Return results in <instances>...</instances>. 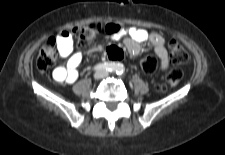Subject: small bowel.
I'll list each match as a JSON object with an SVG mask.
<instances>
[{"label": "small bowel", "mask_w": 225, "mask_h": 155, "mask_svg": "<svg viewBox=\"0 0 225 155\" xmlns=\"http://www.w3.org/2000/svg\"><path fill=\"white\" fill-rule=\"evenodd\" d=\"M108 25L113 30L105 34L115 40L124 38L125 46L133 56L141 53L142 43L147 42L152 45L154 53L159 59V69L161 71L168 70L170 60L166 49V40L161 34L148 32L139 27H121L113 23ZM56 44L58 45L59 56L64 62L53 70V78L57 82L73 83L78 78L77 68L82 60V54L74 52L73 40L67 31H60L56 35Z\"/></svg>", "instance_id": "small-bowel-1"}]
</instances>
